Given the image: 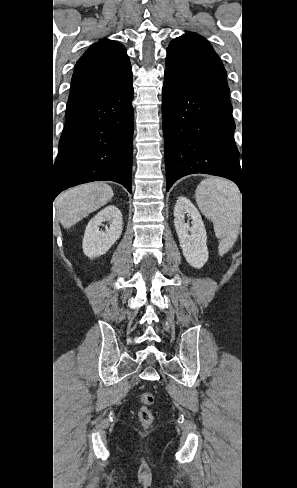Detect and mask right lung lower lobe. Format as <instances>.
I'll list each match as a JSON object with an SVG mask.
<instances>
[{
	"label": "right lung lower lobe",
	"instance_id": "98d812e1",
	"mask_svg": "<svg viewBox=\"0 0 297 488\" xmlns=\"http://www.w3.org/2000/svg\"><path fill=\"white\" fill-rule=\"evenodd\" d=\"M132 74L108 91L66 112L54 164L53 199L82 183L111 180L131 193Z\"/></svg>",
	"mask_w": 297,
	"mask_h": 488
}]
</instances>
